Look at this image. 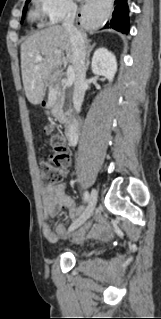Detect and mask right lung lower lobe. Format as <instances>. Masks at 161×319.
<instances>
[{
	"mask_svg": "<svg viewBox=\"0 0 161 319\" xmlns=\"http://www.w3.org/2000/svg\"><path fill=\"white\" fill-rule=\"evenodd\" d=\"M129 10L127 0H114V11L105 28H113L122 33L129 31Z\"/></svg>",
	"mask_w": 161,
	"mask_h": 319,
	"instance_id": "obj_1",
	"label": "right lung lower lobe"
}]
</instances>
